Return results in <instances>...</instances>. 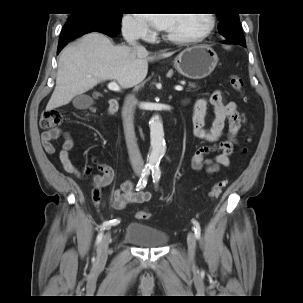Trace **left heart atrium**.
Instances as JSON below:
<instances>
[{
  "label": "left heart atrium",
  "mask_w": 303,
  "mask_h": 303,
  "mask_svg": "<svg viewBox=\"0 0 303 303\" xmlns=\"http://www.w3.org/2000/svg\"><path fill=\"white\" fill-rule=\"evenodd\" d=\"M174 14H143V16L157 29L168 30Z\"/></svg>",
  "instance_id": "obj_1"
}]
</instances>
